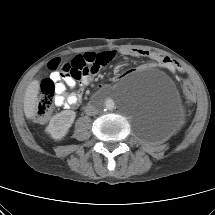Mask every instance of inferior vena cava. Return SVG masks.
Returning <instances> with one entry per match:
<instances>
[{"label":"inferior vena cava","instance_id":"1","mask_svg":"<svg viewBox=\"0 0 215 215\" xmlns=\"http://www.w3.org/2000/svg\"><path fill=\"white\" fill-rule=\"evenodd\" d=\"M85 113L87 115H95V114L98 113V109L95 106H93V105H87L85 107Z\"/></svg>","mask_w":215,"mask_h":215}]
</instances>
